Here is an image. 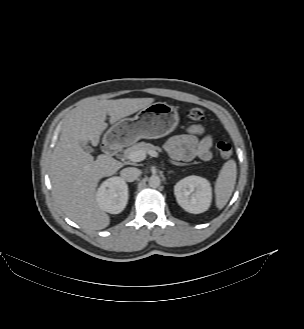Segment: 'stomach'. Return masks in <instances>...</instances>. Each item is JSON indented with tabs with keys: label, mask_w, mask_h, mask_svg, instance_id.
Masks as SVG:
<instances>
[{
	"label": "stomach",
	"mask_w": 304,
	"mask_h": 329,
	"mask_svg": "<svg viewBox=\"0 0 304 329\" xmlns=\"http://www.w3.org/2000/svg\"><path fill=\"white\" fill-rule=\"evenodd\" d=\"M179 123L177 110L165 102L141 109L133 118H123L104 134L103 143L118 148L145 139H157L171 133Z\"/></svg>",
	"instance_id": "0dacf381"
}]
</instances>
